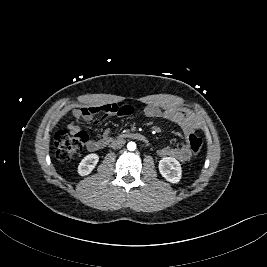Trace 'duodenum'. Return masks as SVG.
<instances>
[{"label":"duodenum","instance_id":"obj_1","mask_svg":"<svg viewBox=\"0 0 267 267\" xmlns=\"http://www.w3.org/2000/svg\"><path fill=\"white\" fill-rule=\"evenodd\" d=\"M125 139H134L141 141L143 143H147L148 139L145 135L139 133V132H130V133H125L117 138V141L120 142Z\"/></svg>","mask_w":267,"mask_h":267}]
</instances>
